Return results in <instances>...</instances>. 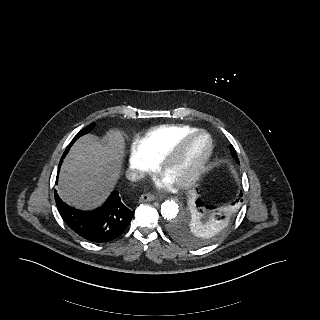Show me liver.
Here are the masks:
<instances>
[{
    "label": "liver",
    "mask_w": 320,
    "mask_h": 320,
    "mask_svg": "<svg viewBox=\"0 0 320 320\" xmlns=\"http://www.w3.org/2000/svg\"><path fill=\"white\" fill-rule=\"evenodd\" d=\"M124 149V138L111 130L103 145L95 137H81L71 148L59 173L57 191L77 209L99 205L114 187Z\"/></svg>",
    "instance_id": "6515ba94"
}]
</instances>
